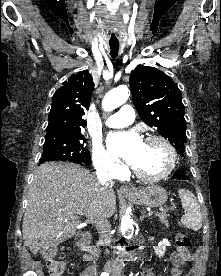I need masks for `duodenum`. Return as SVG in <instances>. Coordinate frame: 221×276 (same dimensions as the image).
<instances>
[{
  "mask_svg": "<svg viewBox=\"0 0 221 276\" xmlns=\"http://www.w3.org/2000/svg\"><path fill=\"white\" fill-rule=\"evenodd\" d=\"M80 247L82 250L87 252L88 254H93V255H98L100 250L94 246L91 245L90 243V237L89 235H86L81 241H80ZM88 259L90 258L89 255H86Z\"/></svg>",
  "mask_w": 221,
  "mask_h": 276,
  "instance_id": "1",
  "label": "duodenum"
}]
</instances>
